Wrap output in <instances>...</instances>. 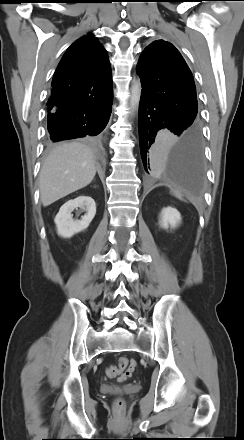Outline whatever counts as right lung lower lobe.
<instances>
[{"label": "right lung lower lobe", "mask_w": 244, "mask_h": 440, "mask_svg": "<svg viewBox=\"0 0 244 440\" xmlns=\"http://www.w3.org/2000/svg\"><path fill=\"white\" fill-rule=\"evenodd\" d=\"M113 96L93 109L76 110L73 113L48 114V131L52 141L100 134L106 127L112 111Z\"/></svg>", "instance_id": "right-lung-lower-lobe-1"}]
</instances>
